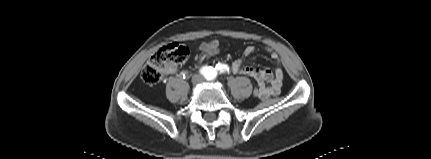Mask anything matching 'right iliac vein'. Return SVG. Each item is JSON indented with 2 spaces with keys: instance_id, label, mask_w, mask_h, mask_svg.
<instances>
[{
  "instance_id": "right-iliac-vein-1",
  "label": "right iliac vein",
  "mask_w": 431,
  "mask_h": 159,
  "mask_svg": "<svg viewBox=\"0 0 431 159\" xmlns=\"http://www.w3.org/2000/svg\"><path fill=\"white\" fill-rule=\"evenodd\" d=\"M201 80H202V78H201V76L200 75H194L193 77H192V83L193 84H198V83H200L201 82Z\"/></svg>"
}]
</instances>
